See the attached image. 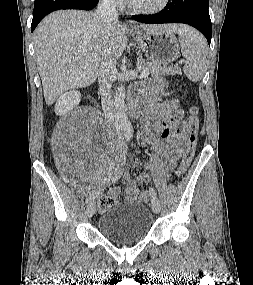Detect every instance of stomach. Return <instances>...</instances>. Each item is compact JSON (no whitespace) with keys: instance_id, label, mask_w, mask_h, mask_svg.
<instances>
[{"instance_id":"1","label":"stomach","mask_w":253,"mask_h":285,"mask_svg":"<svg viewBox=\"0 0 253 285\" xmlns=\"http://www.w3.org/2000/svg\"><path fill=\"white\" fill-rule=\"evenodd\" d=\"M134 39L144 55L152 63L168 65L180 56V47L175 35L165 29L153 31H135Z\"/></svg>"}]
</instances>
